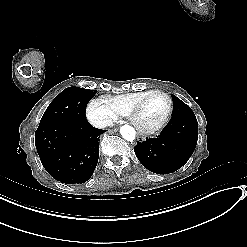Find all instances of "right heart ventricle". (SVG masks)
<instances>
[{"label":"right heart ventricle","mask_w":247,"mask_h":247,"mask_svg":"<svg viewBox=\"0 0 247 247\" xmlns=\"http://www.w3.org/2000/svg\"><path fill=\"white\" fill-rule=\"evenodd\" d=\"M150 91L151 90L128 93L117 97L103 96L102 98L109 102L113 109H121L123 107H134L135 103L139 100L145 99ZM118 115L128 117L129 114L126 111H119Z\"/></svg>","instance_id":"right-heart-ventricle-1"}]
</instances>
